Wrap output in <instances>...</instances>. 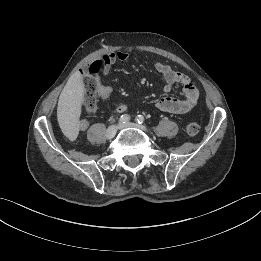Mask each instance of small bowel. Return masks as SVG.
<instances>
[{
  "label": "small bowel",
  "mask_w": 261,
  "mask_h": 261,
  "mask_svg": "<svg viewBox=\"0 0 261 261\" xmlns=\"http://www.w3.org/2000/svg\"><path fill=\"white\" fill-rule=\"evenodd\" d=\"M128 58L129 55L127 52L116 51L103 55L102 58L97 61L101 62V72L105 76L109 73L114 63H116L117 61H127ZM155 69L164 78L163 91L165 93H170L176 84L182 86V97L176 98L172 96H164L160 98L155 104L158 110L174 114H183L190 111L196 106L199 99V90L187 75L179 71H175L168 64L162 61H157L155 63ZM111 92L112 89L110 86L104 84L99 85V95L101 97H106L110 95ZM126 110L127 106L124 104L116 108V112L118 114H122ZM88 125L89 122L84 121L80 124V129L85 130Z\"/></svg>",
  "instance_id": "1"
}]
</instances>
